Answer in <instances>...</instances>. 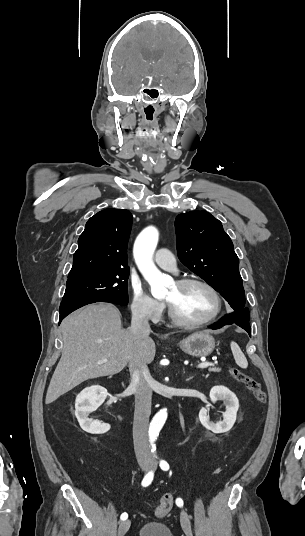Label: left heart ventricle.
<instances>
[{"label": "left heart ventricle", "instance_id": "1", "mask_svg": "<svg viewBox=\"0 0 305 536\" xmlns=\"http://www.w3.org/2000/svg\"><path fill=\"white\" fill-rule=\"evenodd\" d=\"M164 299L189 321L206 320L219 306L216 295L198 284L181 288L175 283Z\"/></svg>", "mask_w": 305, "mask_h": 536}]
</instances>
